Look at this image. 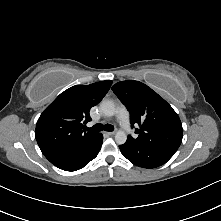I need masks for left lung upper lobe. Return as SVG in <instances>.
Wrapping results in <instances>:
<instances>
[{"instance_id":"left-lung-upper-lobe-1","label":"left lung upper lobe","mask_w":221,"mask_h":221,"mask_svg":"<svg viewBox=\"0 0 221 221\" xmlns=\"http://www.w3.org/2000/svg\"><path fill=\"white\" fill-rule=\"evenodd\" d=\"M113 92L130 112V122L140 126L138 137L129 141L146 147L162 148L176 152L183 128L177 113L155 91L139 81H121L112 87Z\"/></svg>"}]
</instances>
